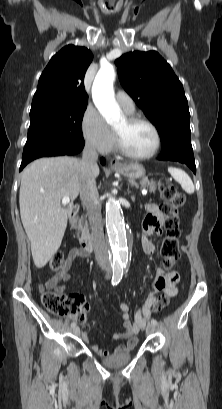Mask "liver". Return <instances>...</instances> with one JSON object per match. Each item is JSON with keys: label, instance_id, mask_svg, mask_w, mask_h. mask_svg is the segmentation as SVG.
Masks as SVG:
<instances>
[{"label": "liver", "instance_id": "1", "mask_svg": "<svg viewBox=\"0 0 222 409\" xmlns=\"http://www.w3.org/2000/svg\"><path fill=\"white\" fill-rule=\"evenodd\" d=\"M80 160L73 157L40 158L21 174L20 215L31 243L34 264L44 267L59 249L73 201L81 191ZM99 175V167L94 176ZM68 196L70 203L62 207Z\"/></svg>", "mask_w": 222, "mask_h": 409}]
</instances>
